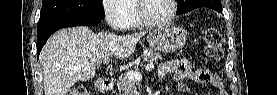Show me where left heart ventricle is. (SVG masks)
Masks as SVG:
<instances>
[{
  "label": "left heart ventricle",
  "instance_id": "obj_1",
  "mask_svg": "<svg viewBox=\"0 0 277 95\" xmlns=\"http://www.w3.org/2000/svg\"><path fill=\"white\" fill-rule=\"evenodd\" d=\"M170 11L169 0H146L144 2L143 12L150 19H165L169 16Z\"/></svg>",
  "mask_w": 277,
  "mask_h": 95
}]
</instances>
